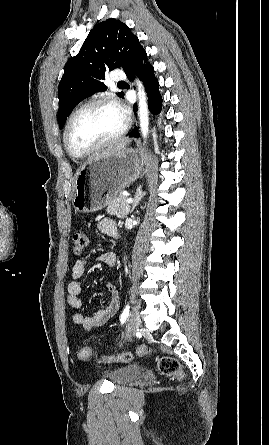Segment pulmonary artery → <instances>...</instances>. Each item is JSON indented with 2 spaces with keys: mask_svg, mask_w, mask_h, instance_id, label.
Masks as SVG:
<instances>
[{
  "mask_svg": "<svg viewBox=\"0 0 269 445\" xmlns=\"http://www.w3.org/2000/svg\"><path fill=\"white\" fill-rule=\"evenodd\" d=\"M111 79L116 82L122 81L125 79V74L122 71H113L111 74Z\"/></svg>",
  "mask_w": 269,
  "mask_h": 445,
  "instance_id": "1",
  "label": "pulmonary artery"
}]
</instances>
